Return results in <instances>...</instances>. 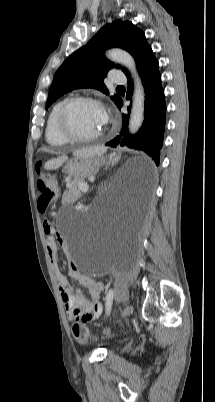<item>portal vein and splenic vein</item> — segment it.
Wrapping results in <instances>:
<instances>
[{
  "mask_svg": "<svg viewBox=\"0 0 215 402\" xmlns=\"http://www.w3.org/2000/svg\"><path fill=\"white\" fill-rule=\"evenodd\" d=\"M80 189H82L84 192H87V191H88V186H87V184L81 183V184H80Z\"/></svg>",
  "mask_w": 215,
  "mask_h": 402,
  "instance_id": "18ae733b",
  "label": "portal vein and splenic vein"
}]
</instances>
